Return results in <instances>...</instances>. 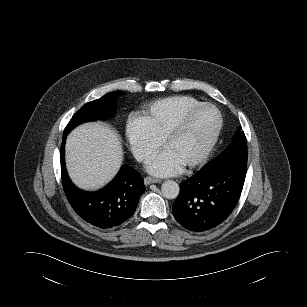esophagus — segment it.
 I'll list each match as a JSON object with an SVG mask.
<instances>
[{
    "mask_svg": "<svg viewBox=\"0 0 307 307\" xmlns=\"http://www.w3.org/2000/svg\"><path fill=\"white\" fill-rule=\"evenodd\" d=\"M161 182H162L161 179H157V178H153V177H146L144 179L145 185H149L151 183H161Z\"/></svg>",
    "mask_w": 307,
    "mask_h": 307,
    "instance_id": "34e87169",
    "label": "esophagus"
}]
</instances>
